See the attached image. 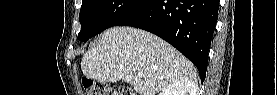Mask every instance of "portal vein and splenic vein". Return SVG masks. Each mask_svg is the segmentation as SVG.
<instances>
[{
    "instance_id": "1",
    "label": "portal vein and splenic vein",
    "mask_w": 277,
    "mask_h": 95,
    "mask_svg": "<svg viewBox=\"0 0 277 95\" xmlns=\"http://www.w3.org/2000/svg\"><path fill=\"white\" fill-rule=\"evenodd\" d=\"M137 75H138V77H142V76H143V74H142V73H138Z\"/></svg>"
}]
</instances>
